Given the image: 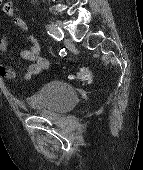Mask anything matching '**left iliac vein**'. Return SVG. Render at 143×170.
Masks as SVG:
<instances>
[{
  "instance_id": "left-iliac-vein-1",
  "label": "left iliac vein",
  "mask_w": 143,
  "mask_h": 170,
  "mask_svg": "<svg viewBox=\"0 0 143 170\" xmlns=\"http://www.w3.org/2000/svg\"><path fill=\"white\" fill-rule=\"evenodd\" d=\"M55 24H56L59 28H62V27H63L62 21H56ZM67 44H71V42L68 40V41H67Z\"/></svg>"
}]
</instances>
